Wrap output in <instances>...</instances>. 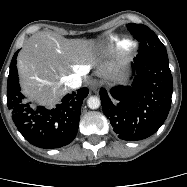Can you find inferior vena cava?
I'll return each mask as SVG.
<instances>
[{
  "label": "inferior vena cava",
  "instance_id": "1",
  "mask_svg": "<svg viewBox=\"0 0 187 187\" xmlns=\"http://www.w3.org/2000/svg\"><path fill=\"white\" fill-rule=\"evenodd\" d=\"M81 75L82 73H75L69 75L66 80V85L71 89L80 88L82 84Z\"/></svg>",
  "mask_w": 187,
  "mask_h": 187
}]
</instances>
